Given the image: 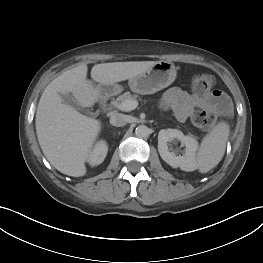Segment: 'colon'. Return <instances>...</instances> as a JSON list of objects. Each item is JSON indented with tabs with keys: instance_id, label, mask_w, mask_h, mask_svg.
<instances>
[{
	"instance_id": "colon-1",
	"label": "colon",
	"mask_w": 263,
	"mask_h": 263,
	"mask_svg": "<svg viewBox=\"0 0 263 263\" xmlns=\"http://www.w3.org/2000/svg\"><path fill=\"white\" fill-rule=\"evenodd\" d=\"M214 77L210 74L202 73L193 76L191 80V90L200 97L213 94ZM216 120V115L212 109L202 108L197 110L192 116V123L199 129H210Z\"/></svg>"
}]
</instances>
